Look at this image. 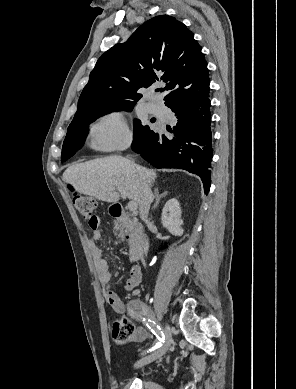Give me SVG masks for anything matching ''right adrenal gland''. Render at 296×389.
<instances>
[{
	"instance_id": "obj_1",
	"label": "right adrenal gland",
	"mask_w": 296,
	"mask_h": 389,
	"mask_svg": "<svg viewBox=\"0 0 296 389\" xmlns=\"http://www.w3.org/2000/svg\"><path fill=\"white\" fill-rule=\"evenodd\" d=\"M167 194H168V192H164L162 194H159L158 188L155 189V191H154L155 204L153 205L152 210H155L158 207L161 199L163 197H165Z\"/></svg>"
}]
</instances>
